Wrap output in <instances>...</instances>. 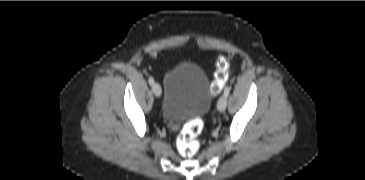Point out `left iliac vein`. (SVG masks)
<instances>
[{
    "label": "left iliac vein",
    "mask_w": 365,
    "mask_h": 180,
    "mask_svg": "<svg viewBox=\"0 0 365 180\" xmlns=\"http://www.w3.org/2000/svg\"><path fill=\"white\" fill-rule=\"evenodd\" d=\"M226 106H227V97L225 95H222L219 100H218V103H217V109L220 111V112H223L225 109H226Z\"/></svg>",
    "instance_id": "1"
}]
</instances>
